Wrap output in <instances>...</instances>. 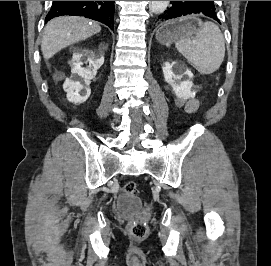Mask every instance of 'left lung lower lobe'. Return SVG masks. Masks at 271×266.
<instances>
[{
  "label": "left lung lower lobe",
  "mask_w": 271,
  "mask_h": 266,
  "mask_svg": "<svg viewBox=\"0 0 271 266\" xmlns=\"http://www.w3.org/2000/svg\"><path fill=\"white\" fill-rule=\"evenodd\" d=\"M170 3V8L158 17L159 22L192 13H200L220 23L214 1H170Z\"/></svg>",
  "instance_id": "1"
}]
</instances>
